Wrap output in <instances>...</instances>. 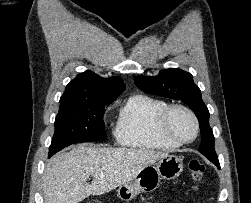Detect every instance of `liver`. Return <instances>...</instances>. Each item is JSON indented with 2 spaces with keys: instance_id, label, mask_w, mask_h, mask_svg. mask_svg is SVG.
<instances>
[{
  "instance_id": "6515ba94",
  "label": "liver",
  "mask_w": 251,
  "mask_h": 203,
  "mask_svg": "<svg viewBox=\"0 0 251 203\" xmlns=\"http://www.w3.org/2000/svg\"><path fill=\"white\" fill-rule=\"evenodd\" d=\"M168 156L151 149L107 148L82 144L54 155L44 170L45 203H78L132 181L145 167ZM103 174L104 177H100ZM93 177L91 184L87 183Z\"/></svg>"
}]
</instances>
